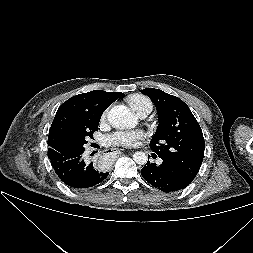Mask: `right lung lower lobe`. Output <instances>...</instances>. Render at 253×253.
I'll list each match as a JSON object with an SVG mask.
<instances>
[{
  "label": "right lung lower lobe",
  "mask_w": 253,
  "mask_h": 253,
  "mask_svg": "<svg viewBox=\"0 0 253 253\" xmlns=\"http://www.w3.org/2000/svg\"><path fill=\"white\" fill-rule=\"evenodd\" d=\"M84 149L67 153L53 151L48 153L51 164L60 180L75 189L92 187L108 176L100 172L91 162L86 164L82 154Z\"/></svg>",
  "instance_id": "obj_1"
}]
</instances>
